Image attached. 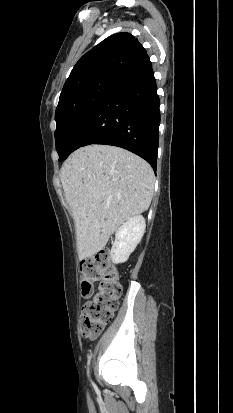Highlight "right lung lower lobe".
<instances>
[{
	"label": "right lung lower lobe",
	"instance_id": "1",
	"mask_svg": "<svg viewBox=\"0 0 233 413\" xmlns=\"http://www.w3.org/2000/svg\"><path fill=\"white\" fill-rule=\"evenodd\" d=\"M159 105L152 65L146 55L116 78L63 159L79 147L107 144L139 155L156 171Z\"/></svg>",
	"mask_w": 233,
	"mask_h": 413
}]
</instances>
